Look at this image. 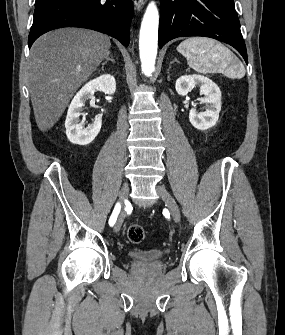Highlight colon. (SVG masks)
<instances>
[{
  "label": "colon",
  "mask_w": 285,
  "mask_h": 335,
  "mask_svg": "<svg viewBox=\"0 0 285 335\" xmlns=\"http://www.w3.org/2000/svg\"><path fill=\"white\" fill-rule=\"evenodd\" d=\"M127 238L131 243L139 244L145 238V230L139 224H131L127 228Z\"/></svg>",
  "instance_id": "obj_1"
}]
</instances>
